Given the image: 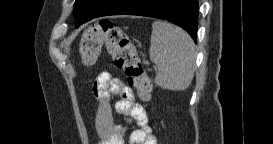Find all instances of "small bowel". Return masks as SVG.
Masks as SVG:
<instances>
[{"mask_svg": "<svg viewBox=\"0 0 273 144\" xmlns=\"http://www.w3.org/2000/svg\"><path fill=\"white\" fill-rule=\"evenodd\" d=\"M92 93L97 103L95 126L101 144H124V129L115 123L112 96L117 97L115 111L133 122L136 129L129 133L130 144H157L145 108L136 102L133 90L120 78L104 71L92 85Z\"/></svg>", "mask_w": 273, "mask_h": 144, "instance_id": "small-bowel-1", "label": "small bowel"}]
</instances>
